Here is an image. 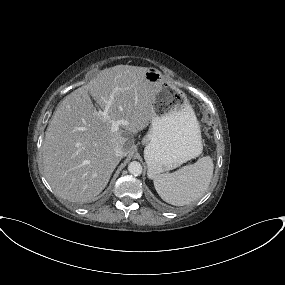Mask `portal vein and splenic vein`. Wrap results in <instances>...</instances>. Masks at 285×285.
<instances>
[{"instance_id":"obj_1","label":"portal vein and splenic vein","mask_w":285,"mask_h":285,"mask_svg":"<svg viewBox=\"0 0 285 285\" xmlns=\"http://www.w3.org/2000/svg\"><path fill=\"white\" fill-rule=\"evenodd\" d=\"M110 107V103L107 104L105 110H99L97 112L98 115L102 116L105 120H108L111 123V130L113 132L118 131L119 130V126L121 124H126V121L123 120H114L109 116L108 110Z\"/></svg>"}]
</instances>
